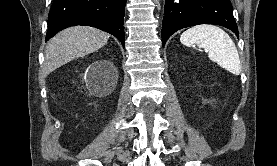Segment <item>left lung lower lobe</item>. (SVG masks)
I'll list each match as a JSON object with an SVG mask.
<instances>
[{
  "instance_id": "left-lung-lower-lobe-1",
  "label": "left lung lower lobe",
  "mask_w": 277,
  "mask_h": 166,
  "mask_svg": "<svg viewBox=\"0 0 277 166\" xmlns=\"http://www.w3.org/2000/svg\"><path fill=\"white\" fill-rule=\"evenodd\" d=\"M199 24L221 25L239 36L230 0H166L162 45L176 31Z\"/></svg>"
}]
</instances>
